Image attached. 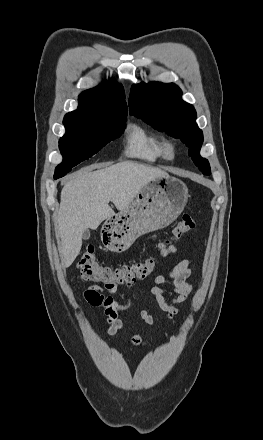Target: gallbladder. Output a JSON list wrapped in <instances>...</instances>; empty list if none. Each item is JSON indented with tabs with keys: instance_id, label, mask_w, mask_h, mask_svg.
<instances>
[{
	"instance_id": "1",
	"label": "gallbladder",
	"mask_w": 263,
	"mask_h": 440,
	"mask_svg": "<svg viewBox=\"0 0 263 440\" xmlns=\"http://www.w3.org/2000/svg\"><path fill=\"white\" fill-rule=\"evenodd\" d=\"M82 237H83L84 240H88L90 238V231L88 229H86L83 232V236Z\"/></svg>"
}]
</instances>
